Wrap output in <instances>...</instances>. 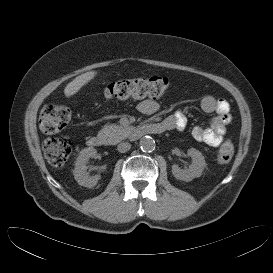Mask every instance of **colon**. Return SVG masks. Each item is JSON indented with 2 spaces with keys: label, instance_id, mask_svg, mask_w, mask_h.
I'll return each mask as SVG.
<instances>
[{
  "label": "colon",
  "instance_id": "1",
  "mask_svg": "<svg viewBox=\"0 0 273 273\" xmlns=\"http://www.w3.org/2000/svg\"><path fill=\"white\" fill-rule=\"evenodd\" d=\"M168 80L161 76L120 79L109 83L105 96L109 99L125 100L128 98H157L164 94ZM71 118L68 107L61 104H47L43 107L39 124L46 134H53L64 129ZM46 159L53 167H62L72 154V143L65 138L47 139L43 146ZM234 155V146L225 141L217 152V163L227 165Z\"/></svg>",
  "mask_w": 273,
  "mask_h": 273
}]
</instances>
